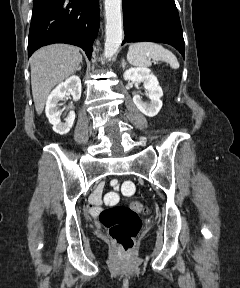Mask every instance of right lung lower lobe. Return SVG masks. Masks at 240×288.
<instances>
[{
    "instance_id": "right-lung-lower-lobe-1",
    "label": "right lung lower lobe",
    "mask_w": 240,
    "mask_h": 288,
    "mask_svg": "<svg viewBox=\"0 0 240 288\" xmlns=\"http://www.w3.org/2000/svg\"><path fill=\"white\" fill-rule=\"evenodd\" d=\"M99 22V0H34L28 56L42 46L67 43L90 59Z\"/></svg>"
}]
</instances>
